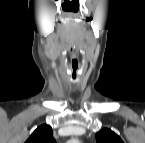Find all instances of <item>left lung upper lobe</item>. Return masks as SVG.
<instances>
[{"mask_svg": "<svg viewBox=\"0 0 145 143\" xmlns=\"http://www.w3.org/2000/svg\"><path fill=\"white\" fill-rule=\"evenodd\" d=\"M97 143H123L121 138L110 129L104 128L96 134Z\"/></svg>", "mask_w": 145, "mask_h": 143, "instance_id": "5c2ea615", "label": "left lung upper lobe"}]
</instances>
